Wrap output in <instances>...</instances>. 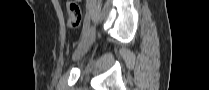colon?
I'll list each match as a JSON object with an SVG mask.
<instances>
[{
  "mask_svg": "<svg viewBox=\"0 0 209 90\" xmlns=\"http://www.w3.org/2000/svg\"><path fill=\"white\" fill-rule=\"evenodd\" d=\"M68 25L71 28H76L81 23V11L78 4L74 1L67 2Z\"/></svg>",
  "mask_w": 209,
  "mask_h": 90,
  "instance_id": "colon-1",
  "label": "colon"
}]
</instances>
